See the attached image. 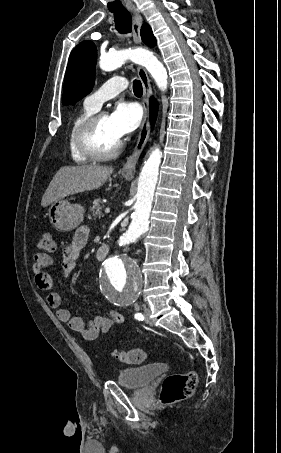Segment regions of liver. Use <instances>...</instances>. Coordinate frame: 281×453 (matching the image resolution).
<instances>
[{"mask_svg":"<svg viewBox=\"0 0 281 453\" xmlns=\"http://www.w3.org/2000/svg\"><path fill=\"white\" fill-rule=\"evenodd\" d=\"M113 170V166H99V164H85V162L78 166H61L45 190L41 204L48 206L54 200H60L69 194L99 188L108 180Z\"/></svg>","mask_w":281,"mask_h":453,"instance_id":"1","label":"liver"}]
</instances>
